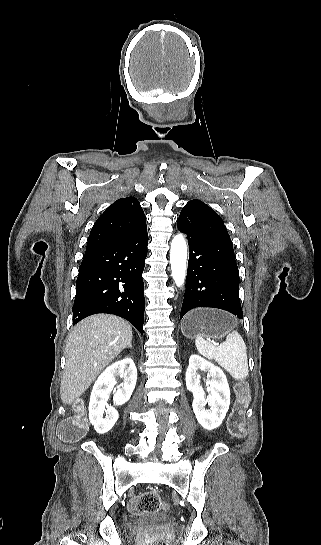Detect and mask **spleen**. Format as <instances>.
Instances as JSON below:
<instances>
[{
	"mask_svg": "<svg viewBox=\"0 0 321 545\" xmlns=\"http://www.w3.org/2000/svg\"><path fill=\"white\" fill-rule=\"evenodd\" d=\"M195 345L200 355L206 359H214L235 381H244L248 377L246 345L237 331L229 333L219 347H215L210 341H204L200 335H197Z\"/></svg>",
	"mask_w": 321,
	"mask_h": 545,
	"instance_id": "spleen-1",
	"label": "spleen"
}]
</instances>
